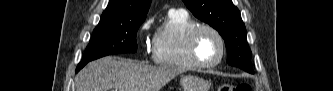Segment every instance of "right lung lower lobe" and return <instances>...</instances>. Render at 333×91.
Listing matches in <instances>:
<instances>
[{
    "mask_svg": "<svg viewBox=\"0 0 333 91\" xmlns=\"http://www.w3.org/2000/svg\"><path fill=\"white\" fill-rule=\"evenodd\" d=\"M88 62L82 61L79 63L78 67L76 68V72H78L81 68H83Z\"/></svg>",
    "mask_w": 333,
    "mask_h": 91,
    "instance_id": "obj_1",
    "label": "right lung lower lobe"
}]
</instances>
